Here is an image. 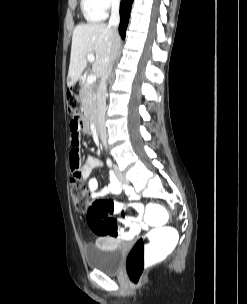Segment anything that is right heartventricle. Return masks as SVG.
<instances>
[{"label": "right heart ventricle", "mask_w": 247, "mask_h": 304, "mask_svg": "<svg viewBox=\"0 0 247 304\" xmlns=\"http://www.w3.org/2000/svg\"><path fill=\"white\" fill-rule=\"evenodd\" d=\"M81 9L89 22H98L106 17V12L98 6L96 0H81Z\"/></svg>", "instance_id": "e07e8e85"}]
</instances>
